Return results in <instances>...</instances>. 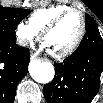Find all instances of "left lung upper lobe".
I'll return each mask as SVG.
<instances>
[{"label":"left lung upper lobe","instance_id":"5c2ea615","mask_svg":"<svg viewBox=\"0 0 103 103\" xmlns=\"http://www.w3.org/2000/svg\"><path fill=\"white\" fill-rule=\"evenodd\" d=\"M85 18H86V29L97 26L96 22L90 15L86 14Z\"/></svg>","mask_w":103,"mask_h":103}]
</instances>
